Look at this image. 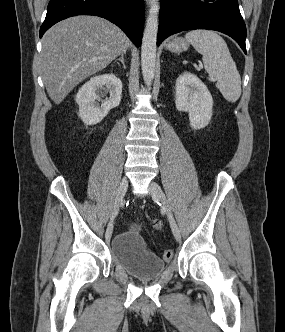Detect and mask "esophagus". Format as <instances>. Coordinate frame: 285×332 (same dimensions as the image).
<instances>
[{"instance_id":"esophagus-1","label":"esophagus","mask_w":285,"mask_h":332,"mask_svg":"<svg viewBox=\"0 0 285 332\" xmlns=\"http://www.w3.org/2000/svg\"><path fill=\"white\" fill-rule=\"evenodd\" d=\"M145 1H146L147 4H149L151 0H145Z\"/></svg>"}]
</instances>
